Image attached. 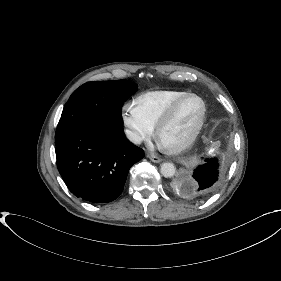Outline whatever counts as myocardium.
<instances>
[{"label": "myocardium", "mask_w": 281, "mask_h": 281, "mask_svg": "<svg viewBox=\"0 0 281 281\" xmlns=\"http://www.w3.org/2000/svg\"><path fill=\"white\" fill-rule=\"evenodd\" d=\"M190 98H195L197 100L200 101L201 106H202V110H201V115L199 118V121L197 123V125L195 126L194 130L191 132V134L185 138L183 141L172 145V146H166L164 144H162L160 142V134L162 132V130L169 124V122L172 120V118L174 117V115L176 114L177 110L179 109V107L188 99ZM206 113H207V106H206V102L205 100L194 93H187L184 96L180 97L179 99H177L176 101H174L169 107L168 109L165 111V113L161 116V118L159 119V121L157 122L156 126H155V137L159 143V145L161 146V148L170 154H176L179 153L183 150H185L186 148H188L197 138V136L199 135L203 124L205 122V118H206Z\"/></svg>", "instance_id": "obj_1"}]
</instances>
